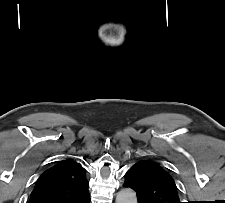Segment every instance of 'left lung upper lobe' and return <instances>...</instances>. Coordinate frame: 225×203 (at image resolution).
<instances>
[{
	"label": "left lung upper lobe",
	"instance_id": "left-lung-upper-lobe-1",
	"mask_svg": "<svg viewBox=\"0 0 225 203\" xmlns=\"http://www.w3.org/2000/svg\"><path fill=\"white\" fill-rule=\"evenodd\" d=\"M124 187L136 191L138 203H180L173 178L152 160L135 163L125 174Z\"/></svg>",
	"mask_w": 225,
	"mask_h": 203
}]
</instances>
